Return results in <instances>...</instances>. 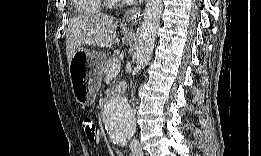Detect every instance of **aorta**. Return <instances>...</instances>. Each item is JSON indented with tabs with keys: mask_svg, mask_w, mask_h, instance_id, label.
Listing matches in <instances>:
<instances>
[{
	"mask_svg": "<svg viewBox=\"0 0 261 156\" xmlns=\"http://www.w3.org/2000/svg\"><path fill=\"white\" fill-rule=\"evenodd\" d=\"M162 11V0L146 1L144 20L136 47L137 69L145 67L151 59ZM103 123L108 135L114 140L126 142L135 133V115L125 97L112 98L105 104Z\"/></svg>",
	"mask_w": 261,
	"mask_h": 156,
	"instance_id": "1",
	"label": "aorta"
}]
</instances>
